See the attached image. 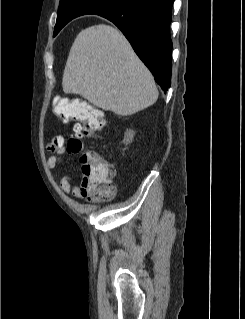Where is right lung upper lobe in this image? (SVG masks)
I'll return each mask as SVG.
<instances>
[{"label":"right lung upper lobe","instance_id":"cb5924a9","mask_svg":"<svg viewBox=\"0 0 245 319\" xmlns=\"http://www.w3.org/2000/svg\"><path fill=\"white\" fill-rule=\"evenodd\" d=\"M60 2H66V4L58 13V18L56 22L57 27L62 28L73 18L84 14H90L89 11L84 10L80 6V3L83 2V0H60Z\"/></svg>","mask_w":245,"mask_h":319}]
</instances>
